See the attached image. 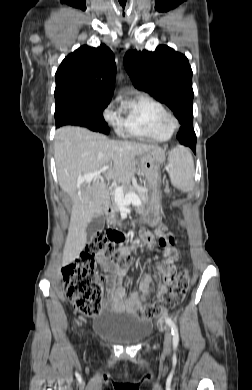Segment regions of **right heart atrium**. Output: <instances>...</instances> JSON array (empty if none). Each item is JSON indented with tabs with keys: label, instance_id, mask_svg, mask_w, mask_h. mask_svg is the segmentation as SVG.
<instances>
[{
	"label": "right heart atrium",
	"instance_id": "d8ad5b80",
	"mask_svg": "<svg viewBox=\"0 0 252 390\" xmlns=\"http://www.w3.org/2000/svg\"><path fill=\"white\" fill-rule=\"evenodd\" d=\"M103 116L106 121L116 124L118 121L117 112L113 110V104H110L104 111Z\"/></svg>",
	"mask_w": 252,
	"mask_h": 390
}]
</instances>
